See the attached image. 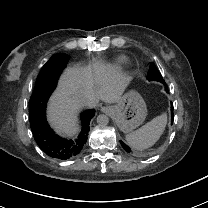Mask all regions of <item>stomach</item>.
I'll return each mask as SVG.
<instances>
[{
    "label": "stomach",
    "mask_w": 208,
    "mask_h": 208,
    "mask_svg": "<svg viewBox=\"0 0 208 208\" xmlns=\"http://www.w3.org/2000/svg\"><path fill=\"white\" fill-rule=\"evenodd\" d=\"M110 115L124 133H129L143 123L147 115L146 104L141 95L131 90L125 93L114 106H109Z\"/></svg>",
    "instance_id": "1"
}]
</instances>
